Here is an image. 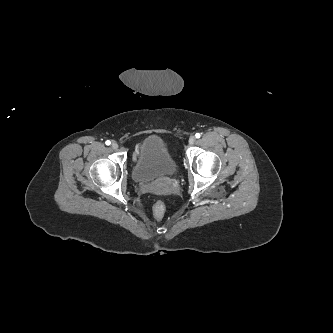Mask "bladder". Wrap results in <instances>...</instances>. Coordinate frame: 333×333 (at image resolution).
Segmentation results:
<instances>
[{
	"label": "bladder",
	"mask_w": 333,
	"mask_h": 333,
	"mask_svg": "<svg viewBox=\"0 0 333 333\" xmlns=\"http://www.w3.org/2000/svg\"><path fill=\"white\" fill-rule=\"evenodd\" d=\"M138 157L132 168V177L139 183L173 176L177 163L164 140L158 135L146 137L140 144Z\"/></svg>",
	"instance_id": "obj_1"
}]
</instances>
